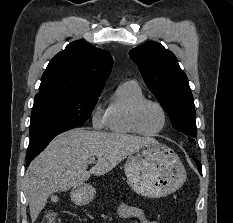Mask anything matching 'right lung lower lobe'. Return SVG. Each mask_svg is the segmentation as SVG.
Wrapping results in <instances>:
<instances>
[{"label":"right lung lower lobe","mask_w":233,"mask_h":223,"mask_svg":"<svg viewBox=\"0 0 233 223\" xmlns=\"http://www.w3.org/2000/svg\"><path fill=\"white\" fill-rule=\"evenodd\" d=\"M39 154V153H38ZM37 154H33L30 156H26V162H27V166L29 165V163L31 162V160L36 156Z\"/></svg>","instance_id":"1"}]
</instances>
